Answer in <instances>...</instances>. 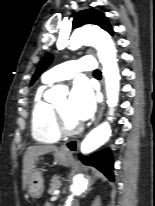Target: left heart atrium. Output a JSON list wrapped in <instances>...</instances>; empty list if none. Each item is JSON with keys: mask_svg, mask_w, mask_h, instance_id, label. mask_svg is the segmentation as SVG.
Returning <instances> with one entry per match:
<instances>
[{"mask_svg": "<svg viewBox=\"0 0 155 206\" xmlns=\"http://www.w3.org/2000/svg\"><path fill=\"white\" fill-rule=\"evenodd\" d=\"M95 101L89 85L83 81H77L68 99V113L76 121L87 120L94 112Z\"/></svg>", "mask_w": 155, "mask_h": 206, "instance_id": "left-heart-atrium-1", "label": "left heart atrium"}]
</instances>
